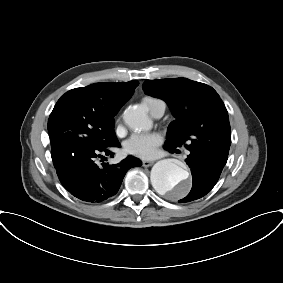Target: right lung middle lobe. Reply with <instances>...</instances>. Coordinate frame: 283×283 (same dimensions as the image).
Here are the masks:
<instances>
[{"instance_id": "dd1d6c3e", "label": "right lung middle lobe", "mask_w": 283, "mask_h": 283, "mask_svg": "<svg viewBox=\"0 0 283 283\" xmlns=\"http://www.w3.org/2000/svg\"><path fill=\"white\" fill-rule=\"evenodd\" d=\"M48 131L51 155L72 153L83 146L107 148L118 142L114 119H103L71 90L56 103Z\"/></svg>"}]
</instances>
